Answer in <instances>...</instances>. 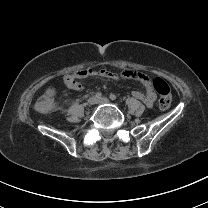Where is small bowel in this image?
Wrapping results in <instances>:
<instances>
[{"instance_id": "obj_1", "label": "small bowel", "mask_w": 208, "mask_h": 208, "mask_svg": "<svg viewBox=\"0 0 208 208\" xmlns=\"http://www.w3.org/2000/svg\"><path fill=\"white\" fill-rule=\"evenodd\" d=\"M79 74V79L86 78L90 73L87 70H81L77 71ZM97 75L103 78H117L118 76L122 78H128L131 80H134L136 82H139L144 88L145 91H134L133 96L141 101L144 102L145 105L147 106H152L154 101H155V93L151 87L150 81L148 77H146L143 74L140 73H132V72H122L120 75L116 72L110 71V70H100L97 71ZM65 85L74 91H81L83 89V86L80 84L78 81L76 84H69L66 81V77L64 79Z\"/></svg>"}]
</instances>
